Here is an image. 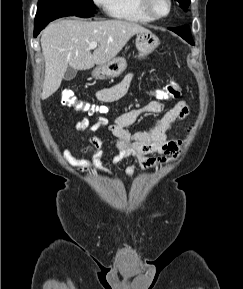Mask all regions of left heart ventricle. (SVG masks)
Listing matches in <instances>:
<instances>
[{
	"label": "left heart ventricle",
	"instance_id": "b2bd125f",
	"mask_svg": "<svg viewBox=\"0 0 243 289\" xmlns=\"http://www.w3.org/2000/svg\"><path fill=\"white\" fill-rule=\"evenodd\" d=\"M151 7L155 14L163 15L168 11L167 0H151Z\"/></svg>",
	"mask_w": 243,
	"mask_h": 289
}]
</instances>
